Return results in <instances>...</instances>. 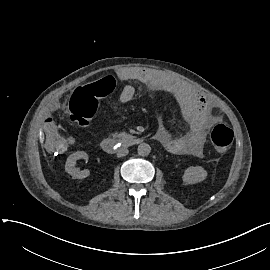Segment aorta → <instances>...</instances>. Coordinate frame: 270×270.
I'll use <instances>...</instances> for the list:
<instances>
[{
	"instance_id": "obj_1",
	"label": "aorta",
	"mask_w": 270,
	"mask_h": 270,
	"mask_svg": "<svg viewBox=\"0 0 270 270\" xmlns=\"http://www.w3.org/2000/svg\"><path fill=\"white\" fill-rule=\"evenodd\" d=\"M137 152L141 156H147L151 152V147L146 143H141L138 145Z\"/></svg>"
}]
</instances>
